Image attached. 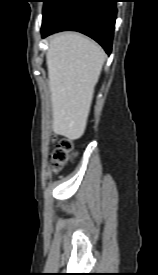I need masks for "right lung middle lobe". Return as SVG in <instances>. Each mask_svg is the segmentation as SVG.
<instances>
[{
    "mask_svg": "<svg viewBox=\"0 0 158 275\" xmlns=\"http://www.w3.org/2000/svg\"><path fill=\"white\" fill-rule=\"evenodd\" d=\"M59 0H44L43 17L57 4Z\"/></svg>",
    "mask_w": 158,
    "mask_h": 275,
    "instance_id": "dd1d6c3e",
    "label": "right lung middle lobe"
}]
</instances>
